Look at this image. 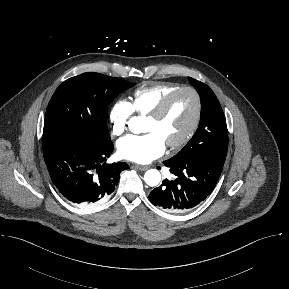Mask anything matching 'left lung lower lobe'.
Masks as SVG:
<instances>
[{"label": "left lung lower lobe", "mask_w": 289, "mask_h": 289, "mask_svg": "<svg viewBox=\"0 0 289 289\" xmlns=\"http://www.w3.org/2000/svg\"><path fill=\"white\" fill-rule=\"evenodd\" d=\"M225 158L220 155H201L187 161H164L176 177L174 180L165 179L160 187L153 189L149 194L150 201L170 212L194 208L214 189Z\"/></svg>", "instance_id": "obj_1"}]
</instances>
